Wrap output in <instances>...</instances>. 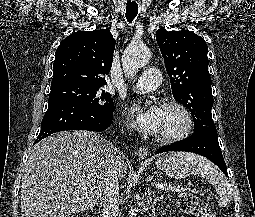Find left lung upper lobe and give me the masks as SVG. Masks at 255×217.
I'll list each match as a JSON object with an SVG mask.
<instances>
[{
    "label": "left lung upper lobe",
    "mask_w": 255,
    "mask_h": 217,
    "mask_svg": "<svg viewBox=\"0 0 255 217\" xmlns=\"http://www.w3.org/2000/svg\"><path fill=\"white\" fill-rule=\"evenodd\" d=\"M156 40L170 77L174 99L192 114L194 128L215 127L213 96L208 72V47L204 39L188 30L156 31Z\"/></svg>",
    "instance_id": "5c2ea615"
}]
</instances>
